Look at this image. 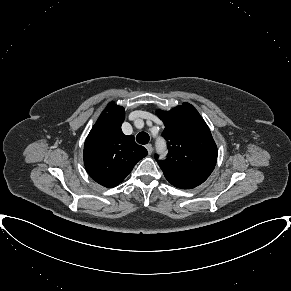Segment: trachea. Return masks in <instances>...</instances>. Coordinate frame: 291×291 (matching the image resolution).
<instances>
[{
    "instance_id": "trachea-1",
    "label": "trachea",
    "mask_w": 291,
    "mask_h": 291,
    "mask_svg": "<svg viewBox=\"0 0 291 291\" xmlns=\"http://www.w3.org/2000/svg\"><path fill=\"white\" fill-rule=\"evenodd\" d=\"M149 135L146 132H140L137 136H136V141L139 144H147L149 142Z\"/></svg>"
}]
</instances>
